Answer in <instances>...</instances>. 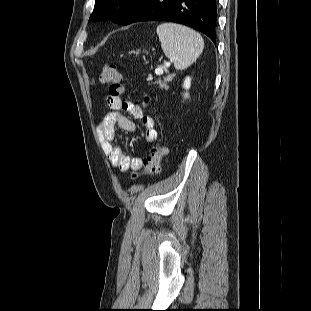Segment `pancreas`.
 <instances>
[{
	"label": "pancreas",
	"mask_w": 311,
	"mask_h": 311,
	"mask_svg": "<svg viewBox=\"0 0 311 311\" xmlns=\"http://www.w3.org/2000/svg\"><path fill=\"white\" fill-rule=\"evenodd\" d=\"M156 83L159 84L160 89L166 88L165 82L163 83L161 80H158Z\"/></svg>",
	"instance_id": "1"
}]
</instances>
